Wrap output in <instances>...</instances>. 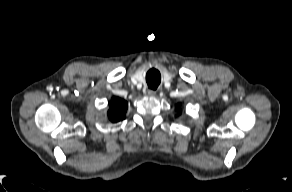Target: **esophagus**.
<instances>
[{"instance_id":"1","label":"esophagus","mask_w":292,"mask_h":192,"mask_svg":"<svg viewBox=\"0 0 292 192\" xmlns=\"http://www.w3.org/2000/svg\"><path fill=\"white\" fill-rule=\"evenodd\" d=\"M145 96H149V97H154L156 95V91L152 90V89H148L144 92Z\"/></svg>"}]
</instances>
